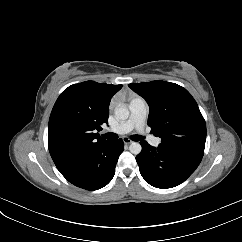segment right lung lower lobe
Segmentation results:
<instances>
[{"label": "right lung lower lobe", "instance_id": "98d812e1", "mask_svg": "<svg viewBox=\"0 0 242 242\" xmlns=\"http://www.w3.org/2000/svg\"><path fill=\"white\" fill-rule=\"evenodd\" d=\"M123 150L122 139L105 141L85 149L57 168L75 186L97 190L106 186L113 178L116 163Z\"/></svg>", "mask_w": 242, "mask_h": 242}]
</instances>
